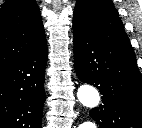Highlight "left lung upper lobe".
Segmentation results:
<instances>
[{"label": "left lung upper lobe", "mask_w": 142, "mask_h": 128, "mask_svg": "<svg viewBox=\"0 0 142 128\" xmlns=\"http://www.w3.org/2000/svg\"><path fill=\"white\" fill-rule=\"evenodd\" d=\"M73 27L106 43L134 52L111 0H78L74 9Z\"/></svg>", "instance_id": "left-lung-upper-lobe-1"}]
</instances>
